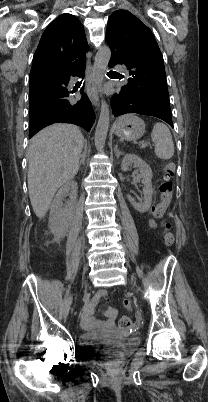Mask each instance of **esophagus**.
Instances as JSON below:
<instances>
[{
  "label": "esophagus",
  "instance_id": "esophagus-1",
  "mask_svg": "<svg viewBox=\"0 0 208 402\" xmlns=\"http://www.w3.org/2000/svg\"><path fill=\"white\" fill-rule=\"evenodd\" d=\"M87 81L86 90L89 100H91L92 104L95 106L99 105V97L96 90L95 78H94V70L91 62L87 63V73H86Z\"/></svg>",
  "mask_w": 208,
  "mask_h": 402
}]
</instances>
